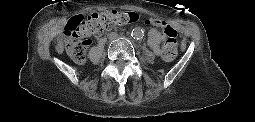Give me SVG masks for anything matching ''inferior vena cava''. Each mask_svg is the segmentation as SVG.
Segmentation results:
<instances>
[{
  "instance_id": "obj_1",
  "label": "inferior vena cava",
  "mask_w": 255,
  "mask_h": 122,
  "mask_svg": "<svg viewBox=\"0 0 255 122\" xmlns=\"http://www.w3.org/2000/svg\"><path fill=\"white\" fill-rule=\"evenodd\" d=\"M108 38L110 40H114V39L118 38V34L116 32H111L108 34Z\"/></svg>"
}]
</instances>
